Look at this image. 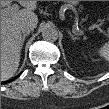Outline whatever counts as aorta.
Returning a JSON list of instances; mask_svg holds the SVG:
<instances>
[{
  "label": "aorta",
  "instance_id": "obj_1",
  "mask_svg": "<svg viewBox=\"0 0 109 109\" xmlns=\"http://www.w3.org/2000/svg\"><path fill=\"white\" fill-rule=\"evenodd\" d=\"M42 37L47 41H56L58 39V31L55 26L47 24L42 29Z\"/></svg>",
  "mask_w": 109,
  "mask_h": 109
}]
</instances>
